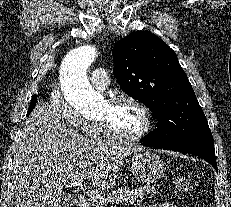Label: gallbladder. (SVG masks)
I'll return each mask as SVG.
<instances>
[{"label":"gallbladder","mask_w":231,"mask_h":207,"mask_svg":"<svg viewBox=\"0 0 231 207\" xmlns=\"http://www.w3.org/2000/svg\"><path fill=\"white\" fill-rule=\"evenodd\" d=\"M77 202V199L73 197L72 195H67L63 201V204L65 206H71Z\"/></svg>","instance_id":"1"}]
</instances>
